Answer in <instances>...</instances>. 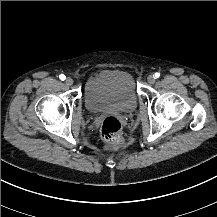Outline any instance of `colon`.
<instances>
[{"label": "colon", "mask_w": 217, "mask_h": 217, "mask_svg": "<svg viewBox=\"0 0 217 217\" xmlns=\"http://www.w3.org/2000/svg\"><path fill=\"white\" fill-rule=\"evenodd\" d=\"M121 122L113 115L106 117L101 126V135L109 143V150H116L123 142L121 136Z\"/></svg>", "instance_id": "1"}]
</instances>
